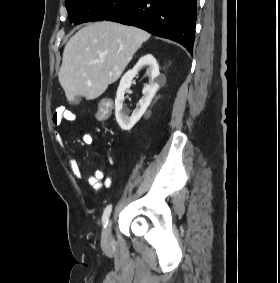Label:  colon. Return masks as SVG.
<instances>
[{"instance_id": "5ec220e1", "label": "colon", "mask_w": 280, "mask_h": 283, "mask_svg": "<svg viewBox=\"0 0 280 283\" xmlns=\"http://www.w3.org/2000/svg\"><path fill=\"white\" fill-rule=\"evenodd\" d=\"M115 108L111 107V101L106 99L102 100L99 104V110L95 112V118L99 120H109L111 112H114Z\"/></svg>"}]
</instances>
